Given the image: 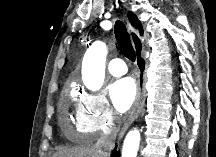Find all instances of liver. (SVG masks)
<instances>
[{
	"instance_id": "liver-1",
	"label": "liver",
	"mask_w": 216,
	"mask_h": 157,
	"mask_svg": "<svg viewBox=\"0 0 216 157\" xmlns=\"http://www.w3.org/2000/svg\"><path fill=\"white\" fill-rule=\"evenodd\" d=\"M95 147L80 146L72 149H64L53 157H99Z\"/></svg>"
}]
</instances>
